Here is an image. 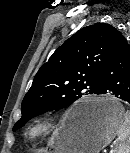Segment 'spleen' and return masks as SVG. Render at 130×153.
I'll return each mask as SVG.
<instances>
[{
	"label": "spleen",
	"mask_w": 130,
	"mask_h": 153,
	"mask_svg": "<svg viewBox=\"0 0 130 153\" xmlns=\"http://www.w3.org/2000/svg\"><path fill=\"white\" fill-rule=\"evenodd\" d=\"M118 140L114 153H130V112L125 113L124 121L118 128Z\"/></svg>",
	"instance_id": "spleen-1"
}]
</instances>
